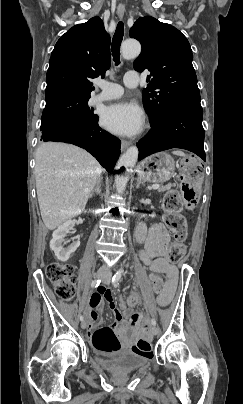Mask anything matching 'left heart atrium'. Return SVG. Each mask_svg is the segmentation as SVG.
<instances>
[{
	"mask_svg": "<svg viewBox=\"0 0 243 404\" xmlns=\"http://www.w3.org/2000/svg\"><path fill=\"white\" fill-rule=\"evenodd\" d=\"M101 123L114 134L135 136L143 129L144 113L135 102L121 100L103 108Z\"/></svg>",
	"mask_w": 243,
	"mask_h": 404,
	"instance_id": "1",
	"label": "left heart atrium"
}]
</instances>
